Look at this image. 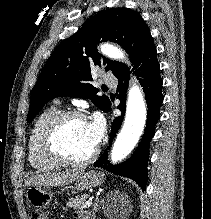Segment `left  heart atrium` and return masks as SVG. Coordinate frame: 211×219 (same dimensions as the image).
Masks as SVG:
<instances>
[{"instance_id": "obj_1", "label": "left heart atrium", "mask_w": 211, "mask_h": 219, "mask_svg": "<svg viewBox=\"0 0 211 219\" xmlns=\"http://www.w3.org/2000/svg\"><path fill=\"white\" fill-rule=\"evenodd\" d=\"M87 130L91 141L96 146L102 139L105 132V123L103 118L96 114L88 123Z\"/></svg>"}]
</instances>
